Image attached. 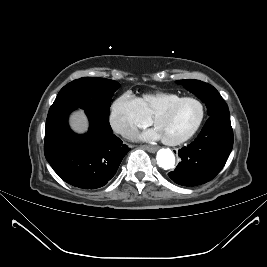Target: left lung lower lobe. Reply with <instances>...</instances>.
I'll use <instances>...</instances> for the list:
<instances>
[{"label": "left lung lower lobe", "instance_id": "left-lung-lower-lobe-1", "mask_svg": "<svg viewBox=\"0 0 267 267\" xmlns=\"http://www.w3.org/2000/svg\"><path fill=\"white\" fill-rule=\"evenodd\" d=\"M233 147L229 114L210 116L199 136L178 151L181 162L169 177L183 186L212 180L224 167Z\"/></svg>", "mask_w": 267, "mask_h": 267}]
</instances>
